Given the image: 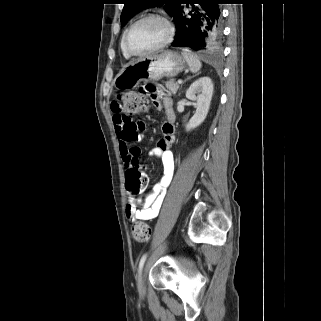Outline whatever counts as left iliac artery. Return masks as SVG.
Returning <instances> with one entry per match:
<instances>
[{
    "instance_id": "left-iliac-artery-1",
    "label": "left iliac artery",
    "mask_w": 321,
    "mask_h": 321,
    "mask_svg": "<svg viewBox=\"0 0 321 321\" xmlns=\"http://www.w3.org/2000/svg\"><path fill=\"white\" fill-rule=\"evenodd\" d=\"M146 258H147V253H145L140 259L139 268H138L139 275L141 274V271H142L143 265L146 261Z\"/></svg>"
}]
</instances>
